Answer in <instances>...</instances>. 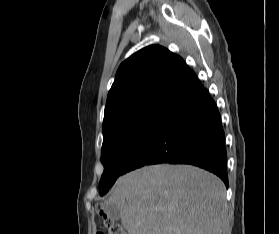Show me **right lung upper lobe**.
Listing matches in <instances>:
<instances>
[{"label": "right lung upper lobe", "mask_w": 279, "mask_h": 234, "mask_svg": "<svg viewBox=\"0 0 279 234\" xmlns=\"http://www.w3.org/2000/svg\"><path fill=\"white\" fill-rule=\"evenodd\" d=\"M197 81L180 56L160 45L145 47L119 66L107 97L104 122L145 106L170 107Z\"/></svg>", "instance_id": "cb5924a9"}]
</instances>
